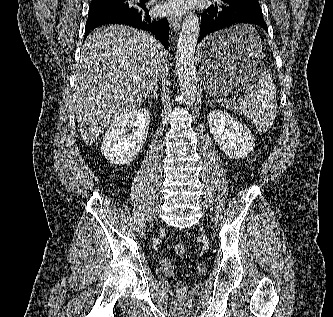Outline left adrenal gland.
Instances as JSON below:
<instances>
[{
    "label": "left adrenal gland",
    "mask_w": 333,
    "mask_h": 317,
    "mask_svg": "<svg viewBox=\"0 0 333 317\" xmlns=\"http://www.w3.org/2000/svg\"><path fill=\"white\" fill-rule=\"evenodd\" d=\"M208 105H212V103L209 99L207 100V103H206V106H208Z\"/></svg>",
    "instance_id": "1"
}]
</instances>
